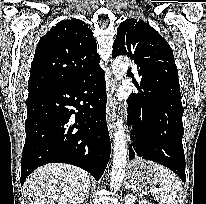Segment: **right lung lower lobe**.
I'll list each match as a JSON object with an SVG mask.
<instances>
[{"label":"right lung lower lobe","mask_w":206,"mask_h":204,"mask_svg":"<svg viewBox=\"0 0 206 204\" xmlns=\"http://www.w3.org/2000/svg\"><path fill=\"white\" fill-rule=\"evenodd\" d=\"M103 76L99 67L73 84L29 92L21 184L54 162L78 166L96 180L102 176L110 155Z\"/></svg>","instance_id":"1"}]
</instances>
